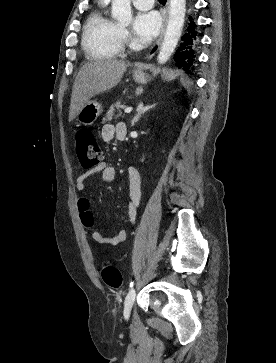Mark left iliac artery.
Instances as JSON below:
<instances>
[{
    "label": "left iliac artery",
    "mask_w": 276,
    "mask_h": 363,
    "mask_svg": "<svg viewBox=\"0 0 276 363\" xmlns=\"http://www.w3.org/2000/svg\"><path fill=\"white\" fill-rule=\"evenodd\" d=\"M132 286H133V282L130 283V287H132Z\"/></svg>",
    "instance_id": "44dca946"
}]
</instances>
